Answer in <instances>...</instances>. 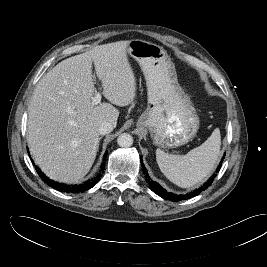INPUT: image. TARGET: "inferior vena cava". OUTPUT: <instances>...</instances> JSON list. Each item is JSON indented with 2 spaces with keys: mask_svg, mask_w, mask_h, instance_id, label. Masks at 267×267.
<instances>
[{
  "mask_svg": "<svg viewBox=\"0 0 267 267\" xmlns=\"http://www.w3.org/2000/svg\"><path fill=\"white\" fill-rule=\"evenodd\" d=\"M114 126L110 122H102V124L99 127V134L106 135L109 134L111 131H113Z\"/></svg>",
  "mask_w": 267,
  "mask_h": 267,
  "instance_id": "inferior-vena-cava-1",
  "label": "inferior vena cava"
}]
</instances>
